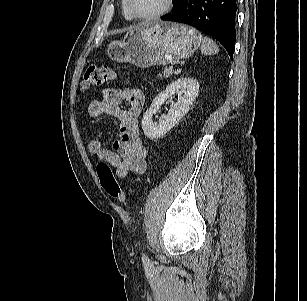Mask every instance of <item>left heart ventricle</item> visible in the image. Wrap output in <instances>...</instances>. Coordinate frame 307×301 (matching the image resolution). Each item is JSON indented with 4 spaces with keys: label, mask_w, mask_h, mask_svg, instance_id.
Instances as JSON below:
<instances>
[{
    "label": "left heart ventricle",
    "mask_w": 307,
    "mask_h": 301,
    "mask_svg": "<svg viewBox=\"0 0 307 301\" xmlns=\"http://www.w3.org/2000/svg\"><path fill=\"white\" fill-rule=\"evenodd\" d=\"M166 0H132L135 10L142 15L153 14L165 6Z\"/></svg>",
    "instance_id": "1"
}]
</instances>
